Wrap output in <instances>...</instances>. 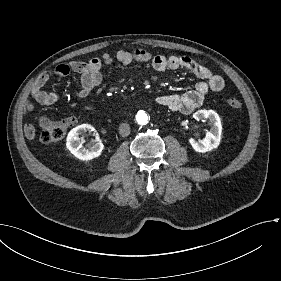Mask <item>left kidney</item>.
Listing matches in <instances>:
<instances>
[{
    "instance_id": "obj_1",
    "label": "left kidney",
    "mask_w": 281,
    "mask_h": 281,
    "mask_svg": "<svg viewBox=\"0 0 281 281\" xmlns=\"http://www.w3.org/2000/svg\"><path fill=\"white\" fill-rule=\"evenodd\" d=\"M195 120L206 119L211 126L210 131L206 133L205 138L196 141L193 138L189 139V143L197 152H207L213 148H217L221 140L222 125L219 115L214 110H198L193 114Z\"/></svg>"
}]
</instances>
